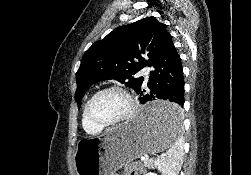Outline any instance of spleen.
<instances>
[{
  "label": "spleen",
  "instance_id": "3e777b00",
  "mask_svg": "<svg viewBox=\"0 0 251 175\" xmlns=\"http://www.w3.org/2000/svg\"><path fill=\"white\" fill-rule=\"evenodd\" d=\"M181 113V107H173L172 111L167 113L166 123L168 133L171 135L172 147L166 151V155L154 161L162 175H178L181 169L183 161Z\"/></svg>",
  "mask_w": 251,
  "mask_h": 175
}]
</instances>
